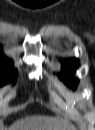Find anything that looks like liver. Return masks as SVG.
<instances>
[{
    "label": "liver",
    "instance_id": "1",
    "mask_svg": "<svg viewBox=\"0 0 95 130\" xmlns=\"http://www.w3.org/2000/svg\"><path fill=\"white\" fill-rule=\"evenodd\" d=\"M58 121L54 117L48 116H27L21 121L16 122L5 130H56Z\"/></svg>",
    "mask_w": 95,
    "mask_h": 130
}]
</instances>
